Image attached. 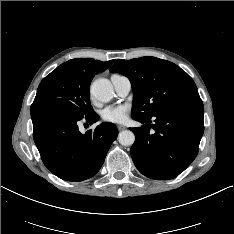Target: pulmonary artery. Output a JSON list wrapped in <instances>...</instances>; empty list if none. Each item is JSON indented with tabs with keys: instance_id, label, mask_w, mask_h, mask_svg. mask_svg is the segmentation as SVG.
Returning <instances> with one entry per match:
<instances>
[{
	"instance_id": "1",
	"label": "pulmonary artery",
	"mask_w": 234,
	"mask_h": 234,
	"mask_svg": "<svg viewBox=\"0 0 234 234\" xmlns=\"http://www.w3.org/2000/svg\"><path fill=\"white\" fill-rule=\"evenodd\" d=\"M111 82L120 96H126L131 90V82L126 76L119 74L112 75Z\"/></svg>"
}]
</instances>
